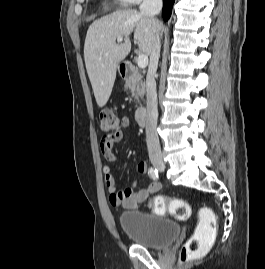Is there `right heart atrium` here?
I'll use <instances>...</instances> for the list:
<instances>
[{
  "label": "right heart atrium",
  "mask_w": 265,
  "mask_h": 269,
  "mask_svg": "<svg viewBox=\"0 0 265 269\" xmlns=\"http://www.w3.org/2000/svg\"><path fill=\"white\" fill-rule=\"evenodd\" d=\"M118 1L125 5H138L142 3L144 0H118Z\"/></svg>",
  "instance_id": "1"
}]
</instances>
